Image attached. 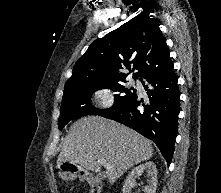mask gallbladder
<instances>
[{
    "label": "gallbladder",
    "instance_id": "1",
    "mask_svg": "<svg viewBox=\"0 0 221 193\" xmlns=\"http://www.w3.org/2000/svg\"><path fill=\"white\" fill-rule=\"evenodd\" d=\"M105 177V174L101 173L99 174V178L103 179Z\"/></svg>",
    "mask_w": 221,
    "mask_h": 193
}]
</instances>
